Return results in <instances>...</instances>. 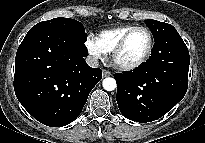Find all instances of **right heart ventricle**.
<instances>
[{
  "mask_svg": "<svg viewBox=\"0 0 205 143\" xmlns=\"http://www.w3.org/2000/svg\"><path fill=\"white\" fill-rule=\"evenodd\" d=\"M133 25H121L115 28L104 30L100 32L95 40L104 54H109L113 51L117 43L123 35L130 30Z\"/></svg>",
  "mask_w": 205,
  "mask_h": 143,
  "instance_id": "e07e8e85",
  "label": "right heart ventricle"
}]
</instances>
